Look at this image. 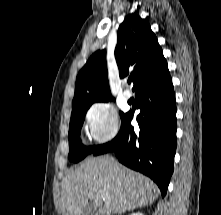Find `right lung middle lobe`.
Returning a JSON list of instances; mask_svg holds the SVG:
<instances>
[{
  "label": "right lung middle lobe",
  "mask_w": 221,
  "mask_h": 215,
  "mask_svg": "<svg viewBox=\"0 0 221 215\" xmlns=\"http://www.w3.org/2000/svg\"><path fill=\"white\" fill-rule=\"evenodd\" d=\"M108 100L104 101L107 102ZM93 103H82L72 105V114L69 128V160L79 162L88 154H91L98 146L86 147L81 144L80 131L83 125L85 114ZM124 113H120L121 118Z\"/></svg>",
  "instance_id": "1"
}]
</instances>
